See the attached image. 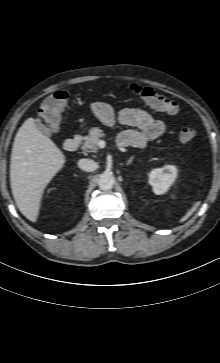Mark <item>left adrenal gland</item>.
Returning a JSON list of instances; mask_svg holds the SVG:
<instances>
[{"instance_id":"left-adrenal-gland-1","label":"left adrenal gland","mask_w":220,"mask_h":363,"mask_svg":"<svg viewBox=\"0 0 220 363\" xmlns=\"http://www.w3.org/2000/svg\"><path fill=\"white\" fill-rule=\"evenodd\" d=\"M133 159H134V156H132V157L128 160V162H127V164H126V165H130V164H131V162L133 161Z\"/></svg>"}]
</instances>
